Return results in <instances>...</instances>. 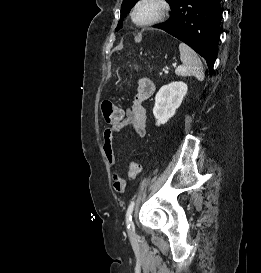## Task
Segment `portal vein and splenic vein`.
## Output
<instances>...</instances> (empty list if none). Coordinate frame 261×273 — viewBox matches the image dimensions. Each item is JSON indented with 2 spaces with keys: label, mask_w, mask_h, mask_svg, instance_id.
I'll list each match as a JSON object with an SVG mask.
<instances>
[{
  "label": "portal vein and splenic vein",
  "mask_w": 261,
  "mask_h": 273,
  "mask_svg": "<svg viewBox=\"0 0 261 273\" xmlns=\"http://www.w3.org/2000/svg\"><path fill=\"white\" fill-rule=\"evenodd\" d=\"M165 73H168V69L167 70H164Z\"/></svg>",
  "instance_id": "1"
}]
</instances>
